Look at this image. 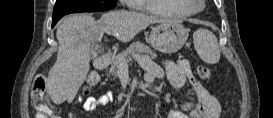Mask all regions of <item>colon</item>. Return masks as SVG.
<instances>
[{
    "instance_id": "colon-1",
    "label": "colon",
    "mask_w": 273,
    "mask_h": 118,
    "mask_svg": "<svg viewBox=\"0 0 273 118\" xmlns=\"http://www.w3.org/2000/svg\"><path fill=\"white\" fill-rule=\"evenodd\" d=\"M197 74L202 79H210L211 71L206 66H199L197 68ZM99 82V75L95 72L90 73L85 81L84 90L88 91L94 88ZM33 102L38 111V118H55L50 103L49 96L46 91V79L43 76H37L32 85L31 91Z\"/></svg>"
}]
</instances>
